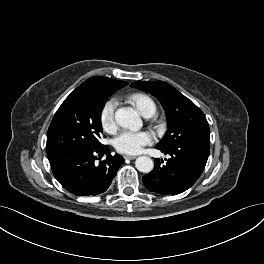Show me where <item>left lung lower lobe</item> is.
<instances>
[{
    "label": "left lung lower lobe",
    "instance_id": "1",
    "mask_svg": "<svg viewBox=\"0 0 264 264\" xmlns=\"http://www.w3.org/2000/svg\"><path fill=\"white\" fill-rule=\"evenodd\" d=\"M159 149L170 158L161 165L154 160V169L142 178L145 187L155 193L176 195L190 188L203 172L210 151L207 142H182L168 149ZM163 162V161H161Z\"/></svg>",
    "mask_w": 264,
    "mask_h": 264
}]
</instances>
